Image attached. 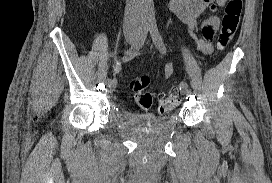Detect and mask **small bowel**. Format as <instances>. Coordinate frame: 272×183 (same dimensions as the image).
<instances>
[{
  "label": "small bowel",
  "mask_w": 272,
  "mask_h": 183,
  "mask_svg": "<svg viewBox=\"0 0 272 183\" xmlns=\"http://www.w3.org/2000/svg\"><path fill=\"white\" fill-rule=\"evenodd\" d=\"M226 2L227 0H170L171 10L188 26L195 48L204 55H209L214 50L211 39L216 36V30L220 25L216 12ZM208 11L210 14L202 23L200 34L203 37H201L198 33V19ZM119 69V66L115 67L116 72ZM173 73V65L166 64L163 67L164 78L171 77Z\"/></svg>",
  "instance_id": "c3829d8e"
}]
</instances>
